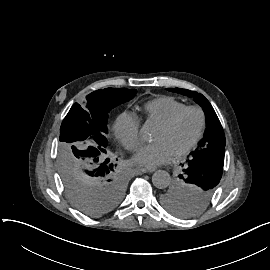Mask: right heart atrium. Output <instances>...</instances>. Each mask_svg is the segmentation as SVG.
Instances as JSON below:
<instances>
[{"label": "right heart atrium", "instance_id": "right-heart-atrium-1", "mask_svg": "<svg viewBox=\"0 0 270 270\" xmlns=\"http://www.w3.org/2000/svg\"><path fill=\"white\" fill-rule=\"evenodd\" d=\"M114 135L128 151H135L141 144L139 119L130 114L122 113L113 126Z\"/></svg>", "mask_w": 270, "mask_h": 270}]
</instances>
